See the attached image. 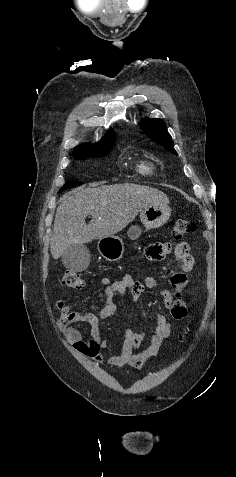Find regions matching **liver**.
Wrapping results in <instances>:
<instances>
[{
	"mask_svg": "<svg viewBox=\"0 0 236 477\" xmlns=\"http://www.w3.org/2000/svg\"><path fill=\"white\" fill-rule=\"evenodd\" d=\"M152 204H169L160 190L136 184L79 188L64 196L54 219L50 251L56 260L72 245L102 239L122 231ZM91 215L87 225L85 218Z\"/></svg>",
	"mask_w": 236,
	"mask_h": 477,
	"instance_id": "1",
	"label": "liver"
}]
</instances>
